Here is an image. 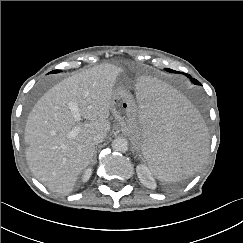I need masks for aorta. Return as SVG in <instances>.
Instances as JSON below:
<instances>
[{
	"label": "aorta",
	"instance_id": "aorta-1",
	"mask_svg": "<svg viewBox=\"0 0 243 243\" xmlns=\"http://www.w3.org/2000/svg\"><path fill=\"white\" fill-rule=\"evenodd\" d=\"M112 149L117 152H126L128 150V141L124 138H116L112 142Z\"/></svg>",
	"mask_w": 243,
	"mask_h": 243
}]
</instances>
